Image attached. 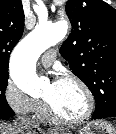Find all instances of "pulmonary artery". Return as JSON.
<instances>
[{
	"instance_id": "pulmonary-artery-1",
	"label": "pulmonary artery",
	"mask_w": 116,
	"mask_h": 134,
	"mask_svg": "<svg viewBox=\"0 0 116 134\" xmlns=\"http://www.w3.org/2000/svg\"><path fill=\"white\" fill-rule=\"evenodd\" d=\"M56 57L55 50H49L42 56V64L44 66H50Z\"/></svg>"
}]
</instances>
